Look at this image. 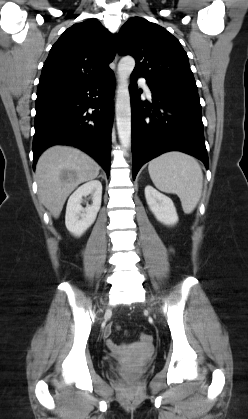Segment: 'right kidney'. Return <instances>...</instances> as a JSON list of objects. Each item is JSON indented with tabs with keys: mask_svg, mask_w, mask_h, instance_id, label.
Wrapping results in <instances>:
<instances>
[{
	"mask_svg": "<svg viewBox=\"0 0 248 419\" xmlns=\"http://www.w3.org/2000/svg\"><path fill=\"white\" fill-rule=\"evenodd\" d=\"M92 196L93 203L86 208L81 206L83 197ZM102 199V184L99 180L89 181L80 186L69 198L65 225L74 236H81L95 221L100 210Z\"/></svg>",
	"mask_w": 248,
	"mask_h": 419,
	"instance_id": "obj_1",
	"label": "right kidney"
}]
</instances>
